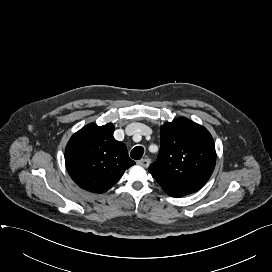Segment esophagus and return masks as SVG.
<instances>
[{"instance_id": "1", "label": "esophagus", "mask_w": 272, "mask_h": 272, "mask_svg": "<svg viewBox=\"0 0 272 272\" xmlns=\"http://www.w3.org/2000/svg\"><path fill=\"white\" fill-rule=\"evenodd\" d=\"M137 163L139 165H141L142 167L147 168L150 165L151 160L149 158H143V159L139 160Z\"/></svg>"}]
</instances>
